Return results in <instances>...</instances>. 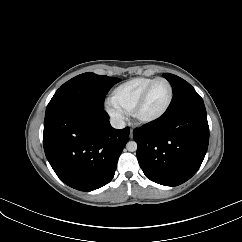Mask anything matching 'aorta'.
I'll use <instances>...</instances> for the list:
<instances>
[{
  "instance_id": "762f6f07",
  "label": "aorta",
  "mask_w": 242,
  "mask_h": 242,
  "mask_svg": "<svg viewBox=\"0 0 242 242\" xmlns=\"http://www.w3.org/2000/svg\"><path fill=\"white\" fill-rule=\"evenodd\" d=\"M128 151L133 152L137 150V143L135 141H129L126 145Z\"/></svg>"
}]
</instances>
